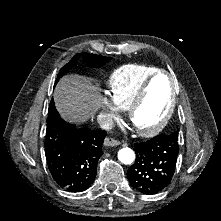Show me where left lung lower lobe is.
Wrapping results in <instances>:
<instances>
[{"instance_id": "obj_1", "label": "left lung lower lobe", "mask_w": 221, "mask_h": 221, "mask_svg": "<svg viewBox=\"0 0 221 221\" xmlns=\"http://www.w3.org/2000/svg\"><path fill=\"white\" fill-rule=\"evenodd\" d=\"M135 163L128 169L131 186L146 195L157 194L172 180L179 153L178 137L158 135L135 143Z\"/></svg>"}]
</instances>
